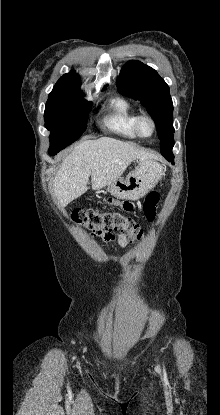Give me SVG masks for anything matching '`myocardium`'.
I'll list each match as a JSON object with an SVG mask.
<instances>
[{"label":"myocardium","mask_w":220,"mask_h":415,"mask_svg":"<svg viewBox=\"0 0 220 415\" xmlns=\"http://www.w3.org/2000/svg\"><path fill=\"white\" fill-rule=\"evenodd\" d=\"M143 121H148L151 124L152 132L148 136L145 135V134H143L142 131H141V123ZM134 129H135V132H136V134H137L138 137L143 138V139L151 138L156 133V123H155V120L150 115H147V114L138 115L137 118H136V120H135Z\"/></svg>","instance_id":"myocardium-1"}]
</instances>
